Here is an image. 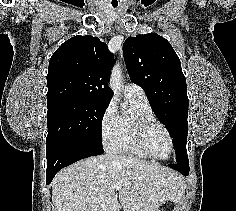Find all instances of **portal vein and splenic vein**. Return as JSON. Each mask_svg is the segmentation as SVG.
<instances>
[{"label":"portal vein and splenic vein","mask_w":236,"mask_h":211,"mask_svg":"<svg viewBox=\"0 0 236 211\" xmlns=\"http://www.w3.org/2000/svg\"><path fill=\"white\" fill-rule=\"evenodd\" d=\"M122 188V184H116L114 186H111L110 190H120Z\"/></svg>","instance_id":"portal-vein-and-splenic-vein-1"}]
</instances>
